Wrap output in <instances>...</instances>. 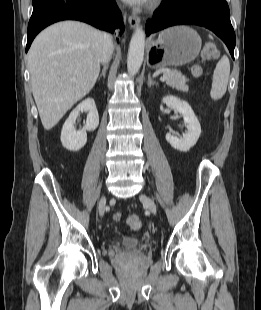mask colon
<instances>
[{
    "mask_svg": "<svg viewBox=\"0 0 261 310\" xmlns=\"http://www.w3.org/2000/svg\"><path fill=\"white\" fill-rule=\"evenodd\" d=\"M217 56H218V50H217L215 44L212 43V42H206L204 47H203V50H202V62L199 63V64H196L193 67V69H192L193 74L195 76L202 75L203 74V70H204L203 62H207V61L213 60ZM115 218L119 219L120 217L116 216ZM127 225L129 226V228H131L133 230H138V229H140V227L142 225V222H141V219H140V217L138 215H130L127 218Z\"/></svg>",
    "mask_w": 261,
    "mask_h": 310,
    "instance_id": "5ec220e1",
    "label": "colon"
}]
</instances>
